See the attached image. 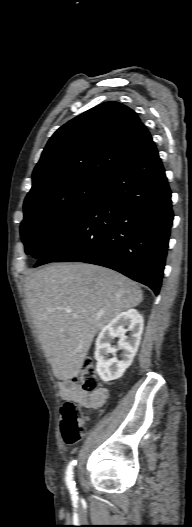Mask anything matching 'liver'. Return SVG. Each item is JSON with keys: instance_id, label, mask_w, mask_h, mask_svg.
Segmentation results:
<instances>
[{"instance_id": "liver-1", "label": "liver", "mask_w": 192, "mask_h": 527, "mask_svg": "<svg viewBox=\"0 0 192 527\" xmlns=\"http://www.w3.org/2000/svg\"><path fill=\"white\" fill-rule=\"evenodd\" d=\"M24 288L45 356L60 380L78 375L95 335L143 300L135 282L92 264L49 265L30 273Z\"/></svg>"}]
</instances>
